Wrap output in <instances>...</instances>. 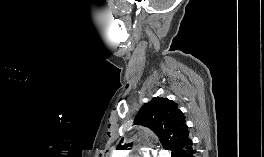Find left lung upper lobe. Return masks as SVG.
I'll use <instances>...</instances> for the list:
<instances>
[{"mask_svg":"<svg viewBox=\"0 0 264 157\" xmlns=\"http://www.w3.org/2000/svg\"><path fill=\"white\" fill-rule=\"evenodd\" d=\"M185 122L184 114L175 102L168 98H154L141 108L134 124L150 128L160 138L163 147L173 154L189 139ZM130 146L131 144H119L117 148L126 149Z\"/></svg>","mask_w":264,"mask_h":157,"instance_id":"obj_1","label":"left lung upper lobe"}]
</instances>
